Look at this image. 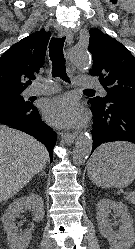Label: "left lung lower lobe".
Wrapping results in <instances>:
<instances>
[{
    "label": "left lung lower lobe",
    "mask_w": 135,
    "mask_h": 249,
    "mask_svg": "<svg viewBox=\"0 0 135 249\" xmlns=\"http://www.w3.org/2000/svg\"><path fill=\"white\" fill-rule=\"evenodd\" d=\"M90 103L94 116L92 152L111 141L135 144V100L110 99L105 105Z\"/></svg>",
    "instance_id": "1"
}]
</instances>
